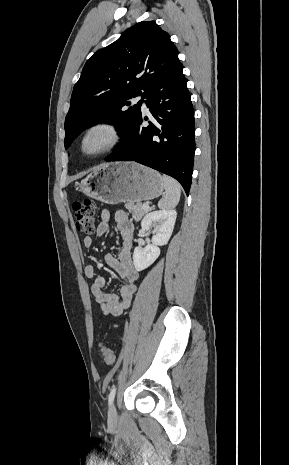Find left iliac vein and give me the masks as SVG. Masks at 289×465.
Here are the masks:
<instances>
[{
    "label": "left iliac vein",
    "mask_w": 289,
    "mask_h": 465,
    "mask_svg": "<svg viewBox=\"0 0 289 465\" xmlns=\"http://www.w3.org/2000/svg\"><path fill=\"white\" fill-rule=\"evenodd\" d=\"M109 422L114 423L117 420V411L115 404H111L108 413Z\"/></svg>",
    "instance_id": "1"
}]
</instances>
